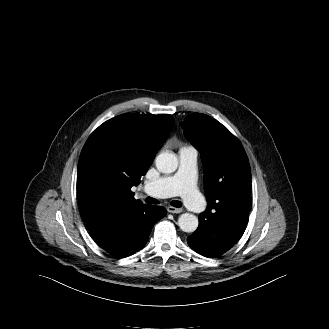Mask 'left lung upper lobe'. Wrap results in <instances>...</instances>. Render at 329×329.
<instances>
[{"instance_id": "left-lung-upper-lobe-1", "label": "left lung upper lobe", "mask_w": 329, "mask_h": 329, "mask_svg": "<svg viewBox=\"0 0 329 329\" xmlns=\"http://www.w3.org/2000/svg\"><path fill=\"white\" fill-rule=\"evenodd\" d=\"M180 126L184 135L203 156L204 191L209 207L201 213L209 224L238 218L249 210L251 172L239 140L214 118L194 113Z\"/></svg>"}]
</instances>
